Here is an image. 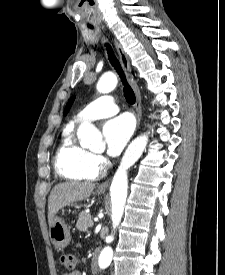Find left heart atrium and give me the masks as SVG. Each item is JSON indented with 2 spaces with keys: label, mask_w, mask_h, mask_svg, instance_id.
I'll list each match as a JSON object with an SVG mask.
<instances>
[{
  "label": "left heart atrium",
  "mask_w": 225,
  "mask_h": 275,
  "mask_svg": "<svg viewBox=\"0 0 225 275\" xmlns=\"http://www.w3.org/2000/svg\"><path fill=\"white\" fill-rule=\"evenodd\" d=\"M134 130L132 119L128 115H120L107 121L103 127V135L110 156H117Z\"/></svg>",
  "instance_id": "39dd6f15"
}]
</instances>
